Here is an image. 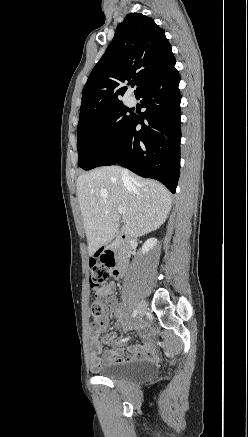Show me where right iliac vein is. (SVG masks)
Listing matches in <instances>:
<instances>
[{
  "label": "right iliac vein",
  "mask_w": 248,
  "mask_h": 437,
  "mask_svg": "<svg viewBox=\"0 0 248 437\" xmlns=\"http://www.w3.org/2000/svg\"><path fill=\"white\" fill-rule=\"evenodd\" d=\"M146 310V304L144 301H141L138 306V313L140 316H143Z\"/></svg>",
  "instance_id": "obj_1"
}]
</instances>
